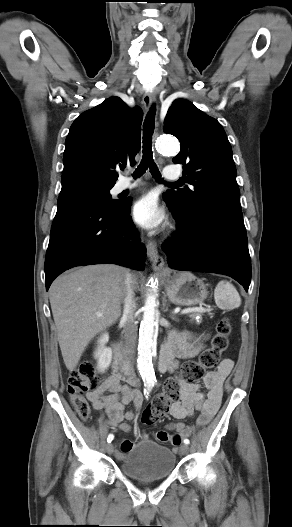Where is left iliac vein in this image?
I'll return each mask as SVG.
<instances>
[{"instance_id":"obj_1","label":"left iliac vein","mask_w":292,"mask_h":527,"mask_svg":"<svg viewBox=\"0 0 292 527\" xmlns=\"http://www.w3.org/2000/svg\"><path fill=\"white\" fill-rule=\"evenodd\" d=\"M188 452H189V447H188V445L183 444V445L180 447V453H181L182 455H186V454H188Z\"/></svg>"}]
</instances>
